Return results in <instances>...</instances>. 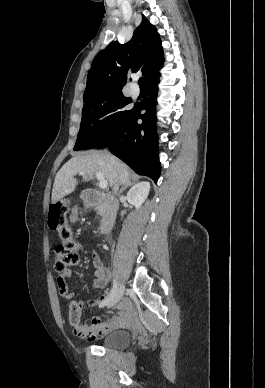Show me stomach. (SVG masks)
I'll list each match as a JSON object with an SVG mask.
<instances>
[{"mask_svg":"<svg viewBox=\"0 0 265 388\" xmlns=\"http://www.w3.org/2000/svg\"><path fill=\"white\" fill-rule=\"evenodd\" d=\"M76 216V210H73L72 218Z\"/></svg>","mask_w":265,"mask_h":388,"instance_id":"obj_1","label":"stomach"}]
</instances>
